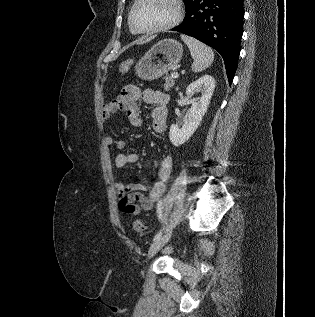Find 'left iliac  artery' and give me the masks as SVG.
Listing matches in <instances>:
<instances>
[{
	"label": "left iliac artery",
	"mask_w": 315,
	"mask_h": 317,
	"mask_svg": "<svg viewBox=\"0 0 315 317\" xmlns=\"http://www.w3.org/2000/svg\"><path fill=\"white\" fill-rule=\"evenodd\" d=\"M162 209H163V201H159L157 204V214H158V218L161 219L162 217ZM162 235V231L160 230L153 238V241L159 239Z\"/></svg>",
	"instance_id": "left-iliac-artery-1"
}]
</instances>
